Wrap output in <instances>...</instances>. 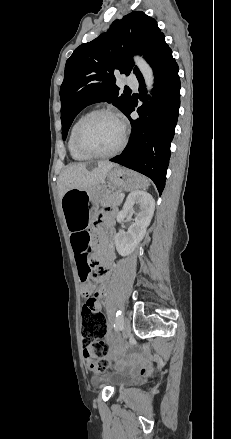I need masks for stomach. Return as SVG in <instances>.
Listing matches in <instances>:
<instances>
[{"instance_id": "1", "label": "stomach", "mask_w": 231, "mask_h": 439, "mask_svg": "<svg viewBox=\"0 0 231 439\" xmlns=\"http://www.w3.org/2000/svg\"><path fill=\"white\" fill-rule=\"evenodd\" d=\"M106 178L107 183L104 181L90 190L70 189L63 195L61 207L69 230L86 228L106 193L115 189L130 191L149 185L147 178L118 166L112 168Z\"/></svg>"}]
</instances>
